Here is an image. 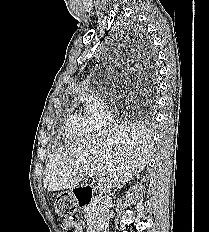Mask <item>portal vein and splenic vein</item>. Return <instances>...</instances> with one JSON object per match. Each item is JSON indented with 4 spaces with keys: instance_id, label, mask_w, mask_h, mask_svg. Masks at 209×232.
I'll return each mask as SVG.
<instances>
[{
    "instance_id": "1",
    "label": "portal vein and splenic vein",
    "mask_w": 209,
    "mask_h": 232,
    "mask_svg": "<svg viewBox=\"0 0 209 232\" xmlns=\"http://www.w3.org/2000/svg\"><path fill=\"white\" fill-rule=\"evenodd\" d=\"M89 173H90L92 176L96 175V174H97L96 168H94V167L89 168Z\"/></svg>"
}]
</instances>
